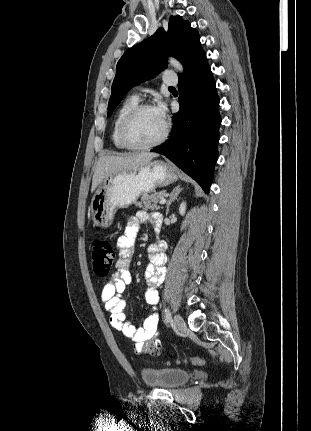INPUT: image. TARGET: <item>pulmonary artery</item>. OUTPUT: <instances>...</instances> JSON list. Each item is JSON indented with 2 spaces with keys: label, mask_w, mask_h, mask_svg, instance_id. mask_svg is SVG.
I'll use <instances>...</instances> for the list:
<instances>
[{
  "label": "pulmonary artery",
  "mask_w": 311,
  "mask_h": 431,
  "mask_svg": "<svg viewBox=\"0 0 311 431\" xmlns=\"http://www.w3.org/2000/svg\"><path fill=\"white\" fill-rule=\"evenodd\" d=\"M163 82L166 83V84H168V85H173V84L176 83L175 80L169 79V78H167L165 76L163 77Z\"/></svg>",
  "instance_id": "1"
}]
</instances>
